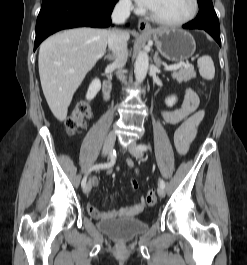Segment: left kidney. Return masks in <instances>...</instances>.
<instances>
[{
	"label": "left kidney",
	"mask_w": 247,
	"mask_h": 265,
	"mask_svg": "<svg viewBox=\"0 0 247 265\" xmlns=\"http://www.w3.org/2000/svg\"><path fill=\"white\" fill-rule=\"evenodd\" d=\"M177 101L175 96H170L165 99V103L168 107H172Z\"/></svg>",
	"instance_id": "5707ae66"
}]
</instances>
